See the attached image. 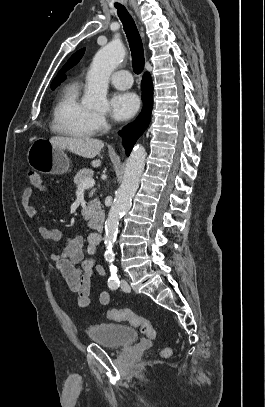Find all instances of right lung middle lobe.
Returning a JSON list of instances; mask_svg holds the SVG:
<instances>
[{"label":"right lung middle lobe","instance_id":"obj_1","mask_svg":"<svg viewBox=\"0 0 265 407\" xmlns=\"http://www.w3.org/2000/svg\"><path fill=\"white\" fill-rule=\"evenodd\" d=\"M57 85H51L52 89H54Z\"/></svg>","mask_w":265,"mask_h":407}]
</instances>
